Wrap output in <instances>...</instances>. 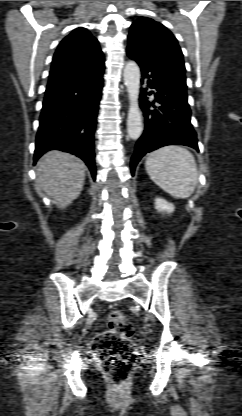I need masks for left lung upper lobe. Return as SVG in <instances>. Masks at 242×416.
Masks as SVG:
<instances>
[{
	"instance_id": "left-lung-upper-lobe-1",
	"label": "left lung upper lobe",
	"mask_w": 242,
	"mask_h": 416,
	"mask_svg": "<svg viewBox=\"0 0 242 416\" xmlns=\"http://www.w3.org/2000/svg\"><path fill=\"white\" fill-rule=\"evenodd\" d=\"M128 46L165 71L167 79L186 90L183 54L174 35L153 19L140 17L130 28Z\"/></svg>"
}]
</instances>
